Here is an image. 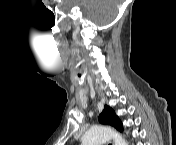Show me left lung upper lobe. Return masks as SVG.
<instances>
[{
	"instance_id": "obj_1",
	"label": "left lung upper lobe",
	"mask_w": 176,
	"mask_h": 145,
	"mask_svg": "<svg viewBox=\"0 0 176 145\" xmlns=\"http://www.w3.org/2000/svg\"><path fill=\"white\" fill-rule=\"evenodd\" d=\"M99 122L102 124H108L114 126L116 129L122 131L123 126L115 112L109 106H105L103 112L99 115Z\"/></svg>"
}]
</instances>
